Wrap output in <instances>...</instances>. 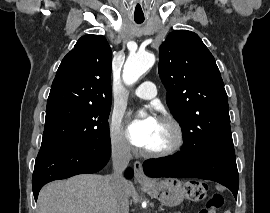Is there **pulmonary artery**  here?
I'll list each match as a JSON object with an SVG mask.
<instances>
[{
    "instance_id": "1",
    "label": "pulmonary artery",
    "mask_w": 270,
    "mask_h": 213,
    "mask_svg": "<svg viewBox=\"0 0 270 213\" xmlns=\"http://www.w3.org/2000/svg\"><path fill=\"white\" fill-rule=\"evenodd\" d=\"M156 90L155 83L145 81L134 91V95L140 99L149 100L155 97Z\"/></svg>"
}]
</instances>
